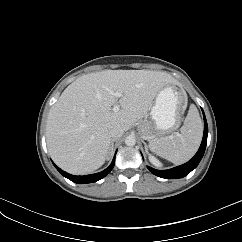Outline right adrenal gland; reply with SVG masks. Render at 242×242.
<instances>
[{
	"label": "right adrenal gland",
	"mask_w": 242,
	"mask_h": 242,
	"mask_svg": "<svg viewBox=\"0 0 242 242\" xmlns=\"http://www.w3.org/2000/svg\"><path fill=\"white\" fill-rule=\"evenodd\" d=\"M113 147H114V140H112V142H111V145H110L109 151H111V150L113 149Z\"/></svg>",
	"instance_id": "1"
}]
</instances>
